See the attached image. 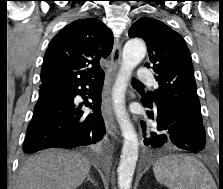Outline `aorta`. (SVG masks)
Returning a JSON list of instances; mask_svg holds the SVG:
<instances>
[{
	"label": "aorta",
	"mask_w": 223,
	"mask_h": 189,
	"mask_svg": "<svg viewBox=\"0 0 223 189\" xmlns=\"http://www.w3.org/2000/svg\"><path fill=\"white\" fill-rule=\"evenodd\" d=\"M146 46L141 39H130L123 48L122 65L113 92V108L124 138L118 166L119 189H130L138 160V138L125 109V92L132 70L142 61Z\"/></svg>",
	"instance_id": "1"
}]
</instances>
